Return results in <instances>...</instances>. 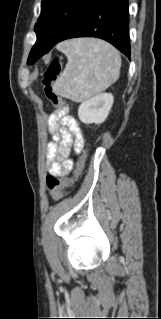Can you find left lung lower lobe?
I'll return each mask as SVG.
<instances>
[{"label": "left lung lower lobe", "instance_id": "1", "mask_svg": "<svg viewBox=\"0 0 161 319\" xmlns=\"http://www.w3.org/2000/svg\"><path fill=\"white\" fill-rule=\"evenodd\" d=\"M128 18V0H98L59 42L77 37H97L108 41L130 59ZM29 59L30 56L28 62Z\"/></svg>", "mask_w": 161, "mask_h": 319}]
</instances>
